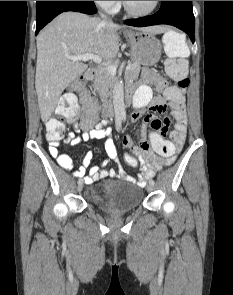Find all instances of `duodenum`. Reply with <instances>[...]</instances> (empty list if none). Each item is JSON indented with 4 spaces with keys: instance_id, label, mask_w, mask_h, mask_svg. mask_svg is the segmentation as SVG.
<instances>
[{
    "instance_id": "410a0bca",
    "label": "duodenum",
    "mask_w": 233,
    "mask_h": 295,
    "mask_svg": "<svg viewBox=\"0 0 233 295\" xmlns=\"http://www.w3.org/2000/svg\"><path fill=\"white\" fill-rule=\"evenodd\" d=\"M95 76H96V70L95 69L87 70V72H86V78L87 79L92 80ZM132 92H133L132 88L127 89L126 96H127L128 99L131 98ZM112 113H113V110H112L111 102L106 99L103 102V105H102V114L105 117H110L112 115Z\"/></svg>"
}]
</instances>
